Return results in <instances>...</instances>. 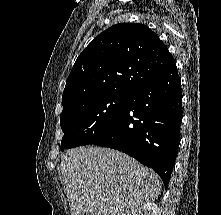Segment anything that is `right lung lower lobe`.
I'll return each mask as SVG.
<instances>
[{"label":"right lung lower lobe","mask_w":221,"mask_h":215,"mask_svg":"<svg viewBox=\"0 0 221 215\" xmlns=\"http://www.w3.org/2000/svg\"><path fill=\"white\" fill-rule=\"evenodd\" d=\"M181 80L175 61L128 95L112 127L90 144L122 151L155 170L168 184L182 121Z\"/></svg>","instance_id":"obj_1"}]
</instances>
